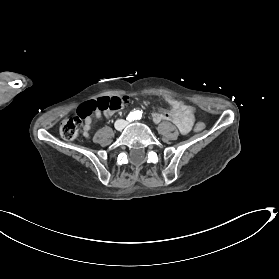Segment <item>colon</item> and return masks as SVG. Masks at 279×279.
<instances>
[{
  "mask_svg": "<svg viewBox=\"0 0 279 279\" xmlns=\"http://www.w3.org/2000/svg\"><path fill=\"white\" fill-rule=\"evenodd\" d=\"M128 97L114 96L102 97L96 100H89L82 103L75 114L67 116L60 125V134L66 140H74L78 135L82 124V119L91 116L95 111H117L128 104ZM188 113L193 117L197 111L192 105L182 103ZM206 125L203 122L195 124V131L201 132Z\"/></svg>",
  "mask_w": 279,
  "mask_h": 279,
  "instance_id": "5ec220e1",
  "label": "colon"
}]
</instances>
